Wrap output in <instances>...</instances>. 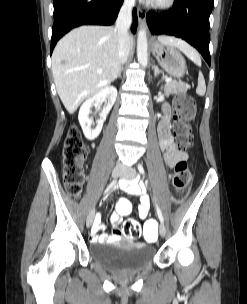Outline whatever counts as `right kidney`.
<instances>
[{
    "label": "right kidney",
    "mask_w": 247,
    "mask_h": 304,
    "mask_svg": "<svg viewBox=\"0 0 247 304\" xmlns=\"http://www.w3.org/2000/svg\"><path fill=\"white\" fill-rule=\"evenodd\" d=\"M116 98L117 89L114 86H107L82 104L79 110L78 120L83 133L88 140H94L98 137L102 130L103 123L116 101ZM102 102H105V105L100 113V119L96 121V127L92 129L93 122L89 118V114L91 112L90 108L92 106L97 108Z\"/></svg>",
    "instance_id": "obj_1"
}]
</instances>
